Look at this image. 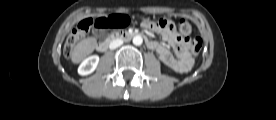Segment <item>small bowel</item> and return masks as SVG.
<instances>
[{
	"mask_svg": "<svg viewBox=\"0 0 276 120\" xmlns=\"http://www.w3.org/2000/svg\"><path fill=\"white\" fill-rule=\"evenodd\" d=\"M142 27L158 33L174 50L176 57L163 44L148 40L149 44L147 46L157 52L159 59L166 66L180 73L188 72L191 69L193 60L189 54V41L176 32L173 24L169 27L162 28L158 25V21L146 20L142 22Z\"/></svg>",
	"mask_w": 276,
	"mask_h": 120,
	"instance_id": "small-bowel-1",
	"label": "small bowel"
}]
</instances>
